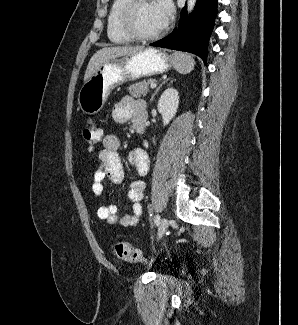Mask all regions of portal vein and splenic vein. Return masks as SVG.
I'll use <instances>...</instances> for the list:
<instances>
[{
    "label": "portal vein and splenic vein",
    "instance_id": "obj_1",
    "mask_svg": "<svg viewBox=\"0 0 298 325\" xmlns=\"http://www.w3.org/2000/svg\"><path fill=\"white\" fill-rule=\"evenodd\" d=\"M157 84L156 82H152V84H149V88H156Z\"/></svg>",
    "mask_w": 298,
    "mask_h": 325
}]
</instances>
